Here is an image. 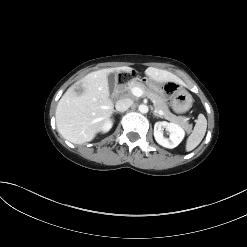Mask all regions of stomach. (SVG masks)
I'll return each instance as SVG.
<instances>
[{
	"instance_id": "1",
	"label": "stomach",
	"mask_w": 247,
	"mask_h": 247,
	"mask_svg": "<svg viewBox=\"0 0 247 247\" xmlns=\"http://www.w3.org/2000/svg\"><path fill=\"white\" fill-rule=\"evenodd\" d=\"M160 92L170 99L171 107L176 113H185L192 107L191 94L176 82H165Z\"/></svg>"
}]
</instances>
